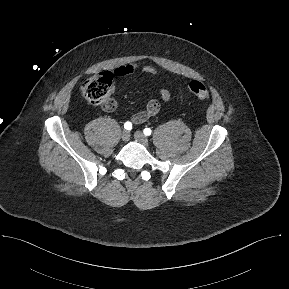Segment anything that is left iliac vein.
<instances>
[{
  "label": "left iliac vein",
  "instance_id": "obj_1",
  "mask_svg": "<svg viewBox=\"0 0 289 289\" xmlns=\"http://www.w3.org/2000/svg\"><path fill=\"white\" fill-rule=\"evenodd\" d=\"M134 138L145 147H148V139L141 131H136Z\"/></svg>",
  "mask_w": 289,
  "mask_h": 289
}]
</instances>
